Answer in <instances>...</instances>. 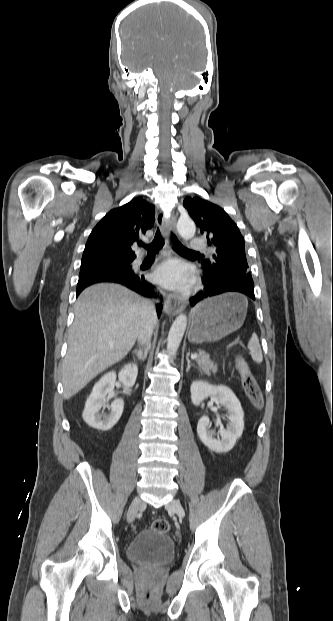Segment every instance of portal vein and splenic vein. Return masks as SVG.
Wrapping results in <instances>:
<instances>
[{"label":"portal vein and splenic vein","mask_w":333,"mask_h":621,"mask_svg":"<svg viewBox=\"0 0 333 621\" xmlns=\"http://www.w3.org/2000/svg\"><path fill=\"white\" fill-rule=\"evenodd\" d=\"M198 357H199V355H198V354H192V355H191V359H197Z\"/></svg>","instance_id":"portal-vein-and-splenic-vein-1"}]
</instances>
